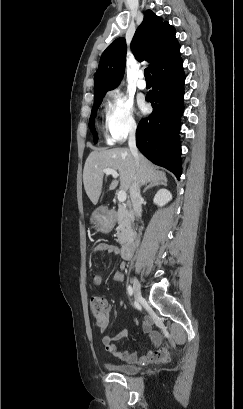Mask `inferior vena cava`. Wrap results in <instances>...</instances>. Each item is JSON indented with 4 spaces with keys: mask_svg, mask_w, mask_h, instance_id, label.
Segmentation results:
<instances>
[{
    "mask_svg": "<svg viewBox=\"0 0 243 409\" xmlns=\"http://www.w3.org/2000/svg\"><path fill=\"white\" fill-rule=\"evenodd\" d=\"M135 131H136V127H133L130 130V134H129V139H128V146L130 149V152L132 153L134 160H135V164L138 167L139 166V154H138V149L136 147V137H135ZM130 197H131V201H132V206H133V210L134 212L138 215L141 216V212H142V197L140 194V185L139 182H135L132 187L130 188Z\"/></svg>",
    "mask_w": 243,
    "mask_h": 409,
    "instance_id": "inferior-vena-cava-1",
    "label": "inferior vena cava"
}]
</instances>
